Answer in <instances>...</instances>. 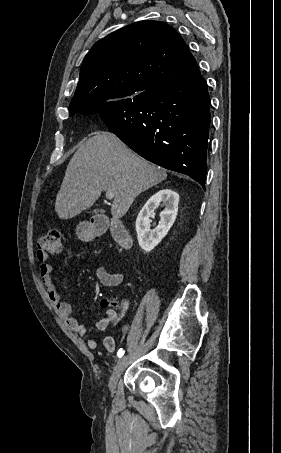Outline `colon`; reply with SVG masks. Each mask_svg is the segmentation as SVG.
Instances as JSON below:
<instances>
[{"mask_svg":"<svg viewBox=\"0 0 281 453\" xmlns=\"http://www.w3.org/2000/svg\"><path fill=\"white\" fill-rule=\"evenodd\" d=\"M61 254V229L57 226H49L47 233L40 240V250L37 260L39 262H46L50 258L59 257Z\"/></svg>","mask_w":281,"mask_h":453,"instance_id":"1","label":"colon"}]
</instances>
